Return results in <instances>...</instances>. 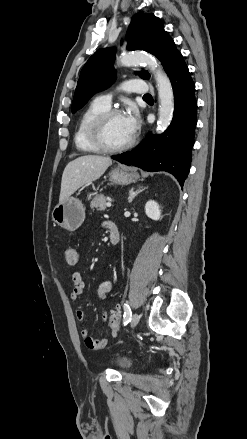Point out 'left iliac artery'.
<instances>
[{
    "instance_id": "44dca946",
    "label": "left iliac artery",
    "mask_w": 247,
    "mask_h": 439,
    "mask_svg": "<svg viewBox=\"0 0 247 439\" xmlns=\"http://www.w3.org/2000/svg\"><path fill=\"white\" fill-rule=\"evenodd\" d=\"M123 309H124L123 323H124V325H126L131 320L132 313H131L130 306L127 303L123 304Z\"/></svg>"
}]
</instances>
